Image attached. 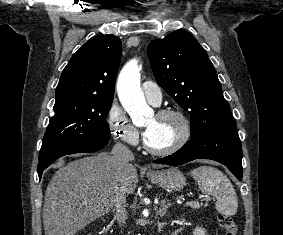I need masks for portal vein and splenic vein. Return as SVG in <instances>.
Segmentation results:
<instances>
[{
	"instance_id": "18ae733b",
	"label": "portal vein and splenic vein",
	"mask_w": 283,
	"mask_h": 235,
	"mask_svg": "<svg viewBox=\"0 0 283 235\" xmlns=\"http://www.w3.org/2000/svg\"><path fill=\"white\" fill-rule=\"evenodd\" d=\"M191 203H195V202H188L187 204H191Z\"/></svg>"
}]
</instances>
